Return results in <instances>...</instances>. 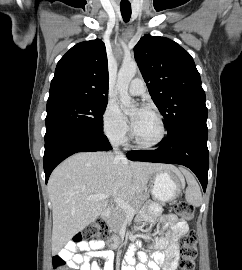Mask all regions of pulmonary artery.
<instances>
[{"instance_id":"e3ab8cb5","label":"pulmonary artery","mask_w":242,"mask_h":270,"mask_svg":"<svg viewBox=\"0 0 242 270\" xmlns=\"http://www.w3.org/2000/svg\"><path fill=\"white\" fill-rule=\"evenodd\" d=\"M146 91L145 83L140 78H135L132 80L129 86V93L133 96L142 95Z\"/></svg>"}]
</instances>
